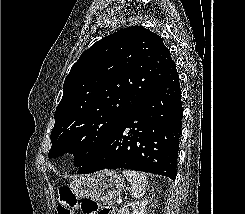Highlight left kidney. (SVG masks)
<instances>
[{
  "instance_id": "obj_1",
  "label": "left kidney",
  "mask_w": 245,
  "mask_h": 214,
  "mask_svg": "<svg viewBox=\"0 0 245 214\" xmlns=\"http://www.w3.org/2000/svg\"><path fill=\"white\" fill-rule=\"evenodd\" d=\"M146 201H137L128 203L122 207L117 214H146Z\"/></svg>"
}]
</instances>
